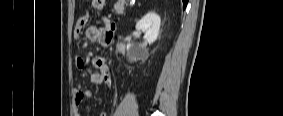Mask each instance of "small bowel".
<instances>
[{
    "instance_id": "1",
    "label": "small bowel",
    "mask_w": 283,
    "mask_h": 116,
    "mask_svg": "<svg viewBox=\"0 0 283 116\" xmlns=\"http://www.w3.org/2000/svg\"><path fill=\"white\" fill-rule=\"evenodd\" d=\"M104 0H96L95 5L97 8H102ZM87 18H80L74 29V38H78L82 29L86 25ZM115 30V24L108 18L102 19L100 26H89L86 29V37L93 42H100L102 44H110L113 38V32ZM75 64L78 69L86 68L89 72L90 81L95 84H105L108 89H112L114 80L110 75L108 66L105 64L104 59L101 56H95L90 64H87L86 60L78 56L75 59ZM91 98V92L89 90L75 88L73 90V105L74 115L80 116L81 108ZM106 111H101L99 116H106Z\"/></svg>"
}]
</instances>
